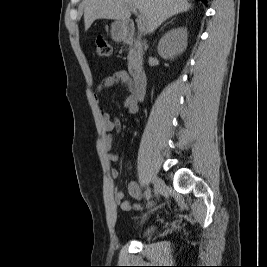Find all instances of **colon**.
<instances>
[{
	"mask_svg": "<svg viewBox=\"0 0 267 267\" xmlns=\"http://www.w3.org/2000/svg\"><path fill=\"white\" fill-rule=\"evenodd\" d=\"M96 52L98 56L108 57L112 54V46L103 37H98L95 41Z\"/></svg>",
	"mask_w": 267,
	"mask_h": 267,
	"instance_id": "1",
	"label": "colon"
}]
</instances>
